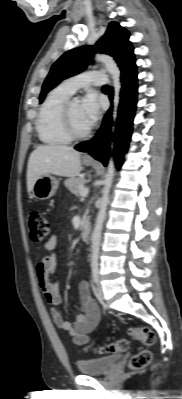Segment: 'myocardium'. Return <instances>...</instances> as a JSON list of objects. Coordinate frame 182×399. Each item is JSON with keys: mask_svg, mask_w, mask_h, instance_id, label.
I'll return each instance as SVG.
<instances>
[{"mask_svg": "<svg viewBox=\"0 0 182 399\" xmlns=\"http://www.w3.org/2000/svg\"><path fill=\"white\" fill-rule=\"evenodd\" d=\"M62 122H63V128L66 133V135L71 139V140H82L87 138L90 133H91V128H88L84 132H78L75 130L72 119H71V114H70V102L68 101L62 111Z\"/></svg>", "mask_w": 182, "mask_h": 399, "instance_id": "obj_1", "label": "myocardium"}]
</instances>
